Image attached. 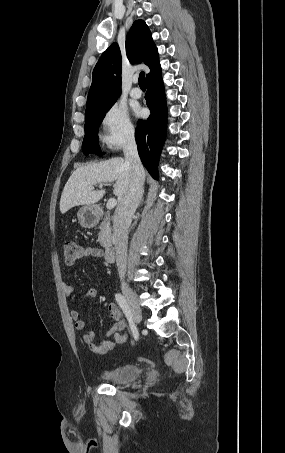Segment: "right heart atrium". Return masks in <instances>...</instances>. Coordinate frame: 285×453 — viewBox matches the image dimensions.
<instances>
[{
	"label": "right heart atrium",
	"instance_id": "right-heart-atrium-1",
	"mask_svg": "<svg viewBox=\"0 0 285 453\" xmlns=\"http://www.w3.org/2000/svg\"><path fill=\"white\" fill-rule=\"evenodd\" d=\"M135 135L127 109L121 104L112 105L101 120V140L111 151L122 148L131 142Z\"/></svg>",
	"mask_w": 285,
	"mask_h": 453
}]
</instances>
